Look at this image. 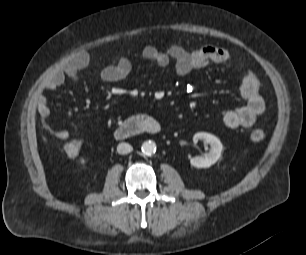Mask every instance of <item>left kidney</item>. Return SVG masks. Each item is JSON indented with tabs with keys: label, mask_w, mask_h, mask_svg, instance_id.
Listing matches in <instances>:
<instances>
[{
	"label": "left kidney",
	"mask_w": 306,
	"mask_h": 255,
	"mask_svg": "<svg viewBox=\"0 0 306 255\" xmlns=\"http://www.w3.org/2000/svg\"><path fill=\"white\" fill-rule=\"evenodd\" d=\"M198 140L208 143L210 145V152L191 158L190 163L197 168H209L220 158L223 145L216 136L206 132H198L193 136L194 143H197Z\"/></svg>",
	"instance_id": "obj_1"
}]
</instances>
